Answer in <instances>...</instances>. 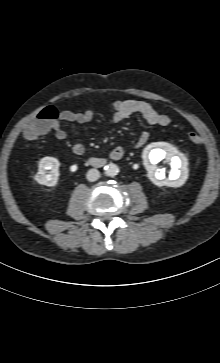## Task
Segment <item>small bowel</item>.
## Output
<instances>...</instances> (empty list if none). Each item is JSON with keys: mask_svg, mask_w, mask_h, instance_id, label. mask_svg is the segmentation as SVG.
Returning a JSON list of instances; mask_svg holds the SVG:
<instances>
[{"mask_svg": "<svg viewBox=\"0 0 220 363\" xmlns=\"http://www.w3.org/2000/svg\"><path fill=\"white\" fill-rule=\"evenodd\" d=\"M93 109L89 108L82 112H74L64 110L60 112L59 120L53 123L52 130L58 140L67 138L66 132L61 128L60 121L88 123L93 119ZM131 115H139L143 120L153 126L166 127L170 124V118L167 115L158 113L148 103L139 100H118L113 103V114L110 118L112 123H119L127 119ZM149 139V133L143 131L138 136L135 142V148H141ZM76 155H82L85 151L81 143H75L72 147ZM123 150L121 147H116L111 151V157L117 158L122 156Z\"/></svg>", "mask_w": 220, "mask_h": 363, "instance_id": "1", "label": "small bowel"}]
</instances>
